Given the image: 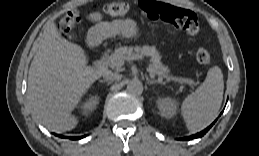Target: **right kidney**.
Wrapping results in <instances>:
<instances>
[{
    "instance_id": "ca27d5eb",
    "label": "right kidney",
    "mask_w": 259,
    "mask_h": 156,
    "mask_svg": "<svg viewBox=\"0 0 259 156\" xmlns=\"http://www.w3.org/2000/svg\"><path fill=\"white\" fill-rule=\"evenodd\" d=\"M99 104V97L98 96H90L82 105H81V111L83 115H88L93 110L96 109L97 105Z\"/></svg>"
}]
</instances>
